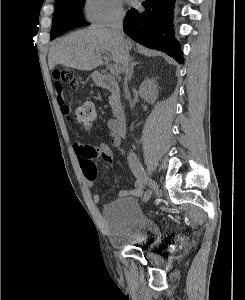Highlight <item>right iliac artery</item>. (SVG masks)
Returning a JSON list of instances; mask_svg holds the SVG:
<instances>
[{"mask_svg": "<svg viewBox=\"0 0 245 300\" xmlns=\"http://www.w3.org/2000/svg\"><path fill=\"white\" fill-rule=\"evenodd\" d=\"M128 162H129V166L133 172V174L144 184L148 185V183H150L148 181V177L146 176L144 169L142 167V165L140 164L137 156L133 153L130 152L128 154ZM154 193V190L151 188L149 189L142 200V203L144 205H147L148 203H150V197L152 196V194Z\"/></svg>", "mask_w": 245, "mask_h": 300, "instance_id": "82829eb1", "label": "right iliac artery"}]
</instances>
